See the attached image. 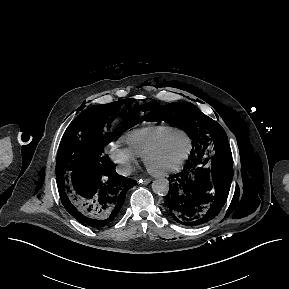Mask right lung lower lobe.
Masks as SVG:
<instances>
[{
	"mask_svg": "<svg viewBox=\"0 0 289 289\" xmlns=\"http://www.w3.org/2000/svg\"><path fill=\"white\" fill-rule=\"evenodd\" d=\"M136 185L120 176L108 156L89 159L58 184L65 209L83 225L100 230L111 227L122 213L127 191Z\"/></svg>",
	"mask_w": 289,
	"mask_h": 289,
	"instance_id": "98d812e1",
	"label": "right lung lower lobe"
}]
</instances>
